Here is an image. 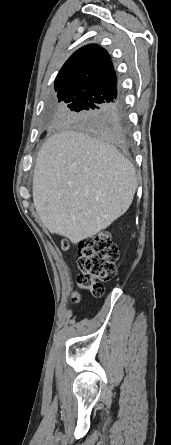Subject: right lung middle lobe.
Here are the masks:
<instances>
[{
  "label": "right lung middle lobe",
  "mask_w": 171,
  "mask_h": 445,
  "mask_svg": "<svg viewBox=\"0 0 171 445\" xmlns=\"http://www.w3.org/2000/svg\"><path fill=\"white\" fill-rule=\"evenodd\" d=\"M57 97L60 103L57 108L58 120L85 127L104 136L98 119L108 106L106 101L93 94L74 91L60 93Z\"/></svg>",
  "instance_id": "obj_1"
}]
</instances>
